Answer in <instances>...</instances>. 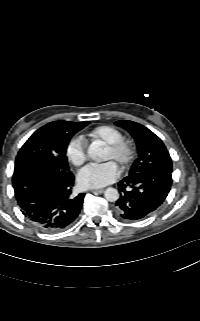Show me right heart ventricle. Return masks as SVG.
Listing matches in <instances>:
<instances>
[{
  "label": "right heart ventricle",
  "mask_w": 200,
  "mask_h": 321,
  "mask_svg": "<svg viewBox=\"0 0 200 321\" xmlns=\"http://www.w3.org/2000/svg\"><path fill=\"white\" fill-rule=\"evenodd\" d=\"M93 140H102L106 144H111L123 138L122 132L110 125H102L93 129L90 133Z\"/></svg>",
  "instance_id": "1"
}]
</instances>
